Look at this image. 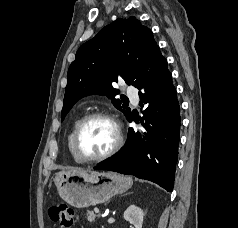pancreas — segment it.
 <instances>
[{"label": "pancreas", "instance_id": "1", "mask_svg": "<svg viewBox=\"0 0 238 228\" xmlns=\"http://www.w3.org/2000/svg\"><path fill=\"white\" fill-rule=\"evenodd\" d=\"M97 217L98 215H96L93 211L87 212V219L89 222H94Z\"/></svg>", "mask_w": 238, "mask_h": 228}]
</instances>
